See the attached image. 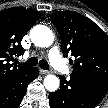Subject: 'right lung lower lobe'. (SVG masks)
<instances>
[{
    "mask_svg": "<svg viewBox=\"0 0 108 108\" xmlns=\"http://www.w3.org/2000/svg\"><path fill=\"white\" fill-rule=\"evenodd\" d=\"M39 74L31 68L26 74L14 80L0 83V108H17L27 91V85Z\"/></svg>",
    "mask_w": 108,
    "mask_h": 108,
    "instance_id": "1",
    "label": "right lung lower lobe"
}]
</instances>
